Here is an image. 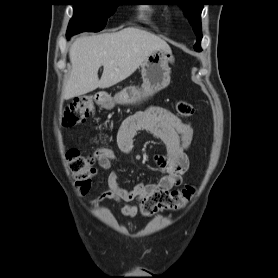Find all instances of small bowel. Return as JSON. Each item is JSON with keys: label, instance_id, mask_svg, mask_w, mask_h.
Segmentation results:
<instances>
[{"label": "small bowel", "instance_id": "1", "mask_svg": "<svg viewBox=\"0 0 278 278\" xmlns=\"http://www.w3.org/2000/svg\"><path fill=\"white\" fill-rule=\"evenodd\" d=\"M141 131L149 132L165 144V152L155 157L163 176L155 183H138L133 189H126L120 186L118 174L112 171L108 177V189L93 201L95 204L105 200L116 201L122 204L121 213L129 218L137 214L136 202L144 200L155 191H170L179 186L182 183V176L189 167L187 155L189 147L182 148L179 145V140L184 134H193L189 124L165 108L152 106L135 113L122 123L117 135L119 149L123 153H130L134 139ZM113 158L100 157L99 167L104 170L111 169Z\"/></svg>", "mask_w": 278, "mask_h": 278}]
</instances>
